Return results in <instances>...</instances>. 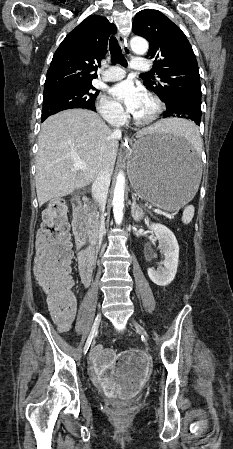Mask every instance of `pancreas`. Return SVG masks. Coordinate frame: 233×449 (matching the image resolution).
<instances>
[{
	"label": "pancreas",
	"instance_id": "1",
	"mask_svg": "<svg viewBox=\"0 0 233 449\" xmlns=\"http://www.w3.org/2000/svg\"><path fill=\"white\" fill-rule=\"evenodd\" d=\"M91 222L93 224H97L98 222V215L94 209L91 211Z\"/></svg>",
	"mask_w": 233,
	"mask_h": 449
}]
</instances>
